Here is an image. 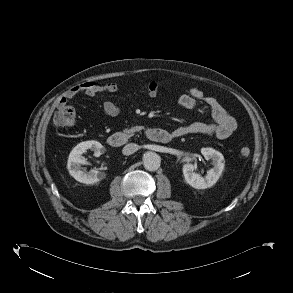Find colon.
<instances>
[{
	"label": "colon",
	"mask_w": 293,
	"mask_h": 293,
	"mask_svg": "<svg viewBox=\"0 0 293 293\" xmlns=\"http://www.w3.org/2000/svg\"><path fill=\"white\" fill-rule=\"evenodd\" d=\"M75 118L74 109L67 104H58L53 116V124L56 128H64L70 125ZM250 149L243 147L240 150V156L247 158L250 156Z\"/></svg>",
	"instance_id": "obj_1"
}]
</instances>
